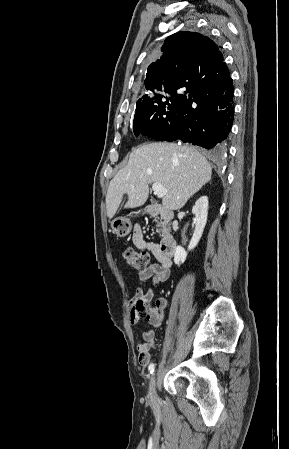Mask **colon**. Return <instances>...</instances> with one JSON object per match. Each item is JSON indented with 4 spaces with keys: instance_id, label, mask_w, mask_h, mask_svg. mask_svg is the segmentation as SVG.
Listing matches in <instances>:
<instances>
[{
    "instance_id": "colon-1",
    "label": "colon",
    "mask_w": 289,
    "mask_h": 449,
    "mask_svg": "<svg viewBox=\"0 0 289 449\" xmlns=\"http://www.w3.org/2000/svg\"><path fill=\"white\" fill-rule=\"evenodd\" d=\"M122 257L125 262L139 271L145 270L150 266V256L145 251H138L132 247H126L122 250ZM145 304H142V307Z\"/></svg>"
}]
</instances>
